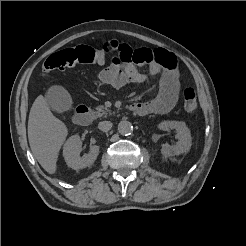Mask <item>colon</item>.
Masks as SVG:
<instances>
[{
    "label": "colon",
    "mask_w": 246,
    "mask_h": 246,
    "mask_svg": "<svg viewBox=\"0 0 246 246\" xmlns=\"http://www.w3.org/2000/svg\"><path fill=\"white\" fill-rule=\"evenodd\" d=\"M105 55L102 50L87 45H78L51 54L43 63V73L49 74L56 69L70 68L77 64H103ZM183 106L187 113L196 111L198 103L193 88H186L183 93Z\"/></svg>",
    "instance_id": "5ec220e1"
}]
</instances>
